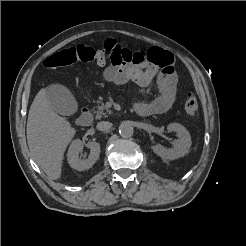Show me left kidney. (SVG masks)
<instances>
[{
    "label": "left kidney",
    "mask_w": 246,
    "mask_h": 246,
    "mask_svg": "<svg viewBox=\"0 0 246 246\" xmlns=\"http://www.w3.org/2000/svg\"><path fill=\"white\" fill-rule=\"evenodd\" d=\"M169 132H176L178 139L173 142V148L167 149L161 145H153L152 150L164 160H174L189 153L191 137L187 129L178 123L167 126Z\"/></svg>",
    "instance_id": "1"
}]
</instances>
